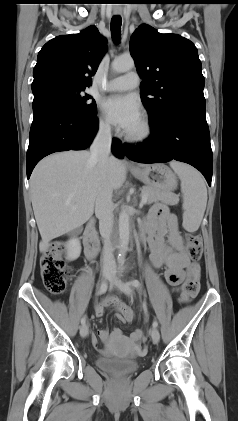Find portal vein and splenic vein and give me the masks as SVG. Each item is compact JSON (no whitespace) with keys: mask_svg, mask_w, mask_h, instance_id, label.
<instances>
[{"mask_svg":"<svg viewBox=\"0 0 238 421\" xmlns=\"http://www.w3.org/2000/svg\"><path fill=\"white\" fill-rule=\"evenodd\" d=\"M147 202V195L146 194H144L143 196H142V200H141V205H140V207H142L145 203Z\"/></svg>","mask_w":238,"mask_h":421,"instance_id":"18ae733b","label":"portal vein and splenic vein"}]
</instances>
